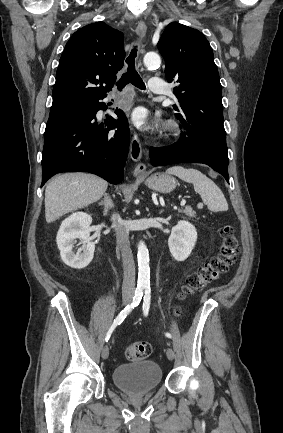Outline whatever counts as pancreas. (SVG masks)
Instances as JSON below:
<instances>
[{
    "label": "pancreas",
    "instance_id": "pancreas-1",
    "mask_svg": "<svg viewBox=\"0 0 283 433\" xmlns=\"http://www.w3.org/2000/svg\"><path fill=\"white\" fill-rule=\"evenodd\" d=\"M182 212H185V214H188V217H196V212L193 210L192 206H185L183 208Z\"/></svg>",
    "mask_w": 283,
    "mask_h": 433
}]
</instances>
